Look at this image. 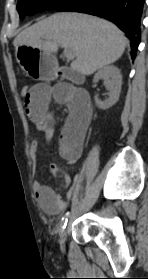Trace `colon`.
I'll use <instances>...</instances> for the list:
<instances>
[{
  "instance_id": "obj_1",
  "label": "colon",
  "mask_w": 148,
  "mask_h": 279,
  "mask_svg": "<svg viewBox=\"0 0 148 279\" xmlns=\"http://www.w3.org/2000/svg\"><path fill=\"white\" fill-rule=\"evenodd\" d=\"M30 87L28 85H24L20 89V94L24 99H28L30 96Z\"/></svg>"
}]
</instances>
